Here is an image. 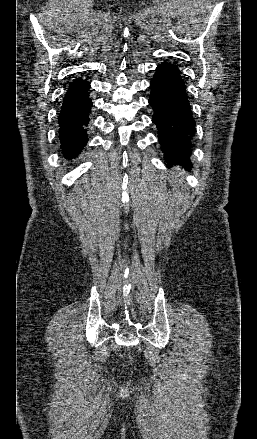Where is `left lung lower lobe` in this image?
<instances>
[{
	"instance_id": "0a47b994",
	"label": "left lung lower lobe",
	"mask_w": 257,
	"mask_h": 439,
	"mask_svg": "<svg viewBox=\"0 0 257 439\" xmlns=\"http://www.w3.org/2000/svg\"><path fill=\"white\" fill-rule=\"evenodd\" d=\"M176 65L161 63L150 82L149 104L158 139L168 165L191 166V141L196 127L186 87Z\"/></svg>"
}]
</instances>
